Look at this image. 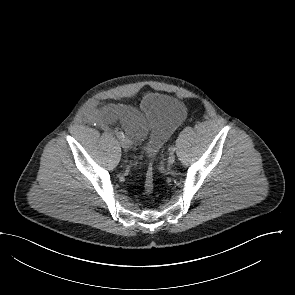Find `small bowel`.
<instances>
[{"label":"small bowel","instance_id":"small-bowel-1","mask_svg":"<svg viewBox=\"0 0 295 295\" xmlns=\"http://www.w3.org/2000/svg\"><path fill=\"white\" fill-rule=\"evenodd\" d=\"M88 119L97 123L103 129L120 122L124 131L130 137L140 140L147 131V120L138 110L118 105H110L102 108H93L88 113Z\"/></svg>","mask_w":295,"mask_h":295}]
</instances>
